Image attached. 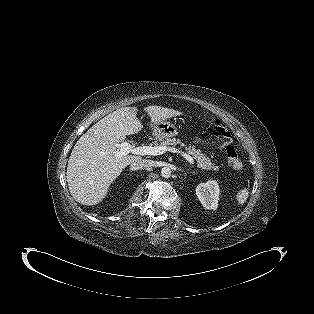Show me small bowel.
<instances>
[{"mask_svg": "<svg viewBox=\"0 0 314 314\" xmlns=\"http://www.w3.org/2000/svg\"><path fill=\"white\" fill-rule=\"evenodd\" d=\"M195 141H196L197 143H200V144H210L209 141H207V140H205V139H203V138H200V137H196Z\"/></svg>", "mask_w": 314, "mask_h": 314, "instance_id": "c3829d8e", "label": "small bowel"}]
</instances>
